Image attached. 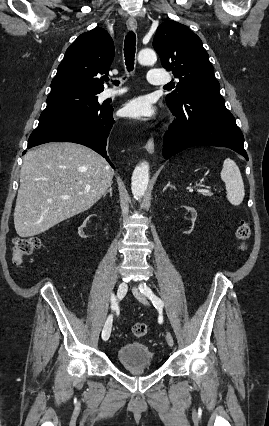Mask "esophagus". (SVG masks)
Listing matches in <instances>:
<instances>
[{"instance_id":"esophagus-1","label":"esophagus","mask_w":269,"mask_h":426,"mask_svg":"<svg viewBox=\"0 0 269 426\" xmlns=\"http://www.w3.org/2000/svg\"><path fill=\"white\" fill-rule=\"evenodd\" d=\"M126 24H127V28L131 31H135L137 29V21L133 17L128 18ZM145 148L148 151V153L150 154L154 153V150H155L154 141L152 139H149L146 143Z\"/></svg>"}]
</instances>
